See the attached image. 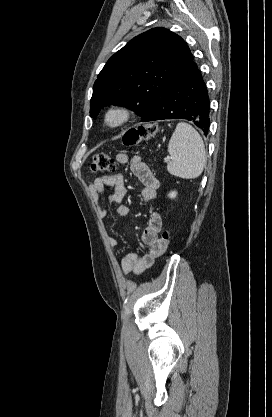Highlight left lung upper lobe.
<instances>
[{
    "mask_svg": "<svg viewBox=\"0 0 272 417\" xmlns=\"http://www.w3.org/2000/svg\"><path fill=\"white\" fill-rule=\"evenodd\" d=\"M192 59L186 42L165 28H153L134 37L98 74L90 116L113 104L131 108L142 119L147 117Z\"/></svg>",
    "mask_w": 272,
    "mask_h": 417,
    "instance_id": "1",
    "label": "left lung upper lobe"
}]
</instances>
